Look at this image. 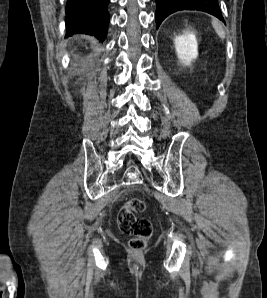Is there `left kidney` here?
<instances>
[{
  "mask_svg": "<svg viewBox=\"0 0 267 298\" xmlns=\"http://www.w3.org/2000/svg\"><path fill=\"white\" fill-rule=\"evenodd\" d=\"M175 50L179 61L189 66L198 56V44L196 36L191 29H186L183 34L174 39Z\"/></svg>",
  "mask_w": 267,
  "mask_h": 298,
  "instance_id": "left-kidney-1",
  "label": "left kidney"
}]
</instances>
